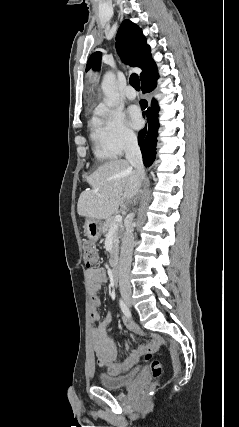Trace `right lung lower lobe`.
<instances>
[{"label": "right lung lower lobe", "instance_id": "obj_1", "mask_svg": "<svg viewBox=\"0 0 239 427\" xmlns=\"http://www.w3.org/2000/svg\"><path fill=\"white\" fill-rule=\"evenodd\" d=\"M158 79V74L148 77L141 81V89L145 92H151L156 87V81ZM142 109L148 107L147 101H141ZM159 111V106L155 100L152 101L151 107H148L143 116L147 118L148 124L141 130L138 134V143L141 147V152L143 156V162L145 166H150L156 156V142H157V130L159 127L157 113Z\"/></svg>", "mask_w": 239, "mask_h": 427}]
</instances>
